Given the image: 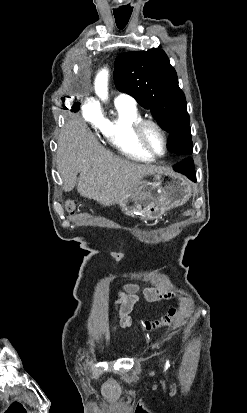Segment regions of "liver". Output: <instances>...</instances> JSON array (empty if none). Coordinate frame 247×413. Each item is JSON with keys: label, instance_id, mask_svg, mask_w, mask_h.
<instances>
[{"label": "liver", "instance_id": "liver-1", "mask_svg": "<svg viewBox=\"0 0 247 413\" xmlns=\"http://www.w3.org/2000/svg\"><path fill=\"white\" fill-rule=\"evenodd\" d=\"M57 164L65 192L74 188L80 172L78 192L106 207L119 202L144 176L160 168L117 156L100 144L84 118H71L61 128Z\"/></svg>", "mask_w": 247, "mask_h": 413}]
</instances>
